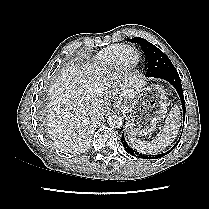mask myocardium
I'll return each mask as SVG.
<instances>
[{"label": "myocardium", "instance_id": "f54148a6", "mask_svg": "<svg viewBox=\"0 0 209 209\" xmlns=\"http://www.w3.org/2000/svg\"><path fill=\"white\" fill-rule=\"evenodd\" d=\"M127 50H133L135 54L137 53V51L131 46H127V45L122 46V48L119 50V52L116 56V60H115V63L117 65V67L127 68V67H130L132 65L131 61H125L124 58H123V55Z\"/></svg>", "mask_w": 209, "mask_h": 209}]
</instances>
